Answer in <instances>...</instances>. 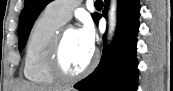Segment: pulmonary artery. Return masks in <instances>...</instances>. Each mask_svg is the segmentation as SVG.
<instances>
[{
  "label": "pulmonary artery",
  "mask_w": 173,
  "mask_h": 91,
  "mask_svg": "<svg viewBox=\"0 0 173 91\" xmlns=\"http://www.w3.org/2000/svg\"><path fill=\"white\" fill-rule=\"evenodd\" d=\"M80 2V0L52 1L48 6V10H50L60 21L66 23L71 19L74 9Z\"/></svg>",
  "instance_id": "1"
}]
</instances>
